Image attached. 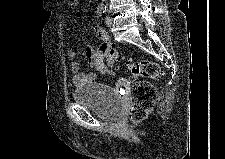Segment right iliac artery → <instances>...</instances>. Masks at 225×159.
Here are the masks:
<instances>
[{"instance_id":"right-iliac-artery-1","label":"right iliac artery","mask_w":225,"mask_h":159,"mask_svg":"<svg viewBox=\"0 0 225 159\" xmlns=\"http://www.w3.org/2000/svg\"><path fill=\"white\" fill-rule=\"evenodd\" d=\"M106 11H107L106 6H99L97 8V14L99 17H102L104 15V13H106Z\"/></svg>"}]
</instances>
